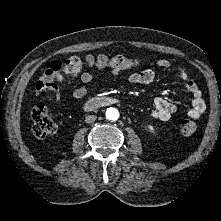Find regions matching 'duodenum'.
I'll return each instance as SVG.
<instances>
[{
	"label": "duodenum",
	"mask_w": 221,
	"mask_h": 221,
	"mask_svg": "<svg viewBox=\"0 0 221 221\" xmlns=\"http://www.w3.org/2000/svg\"><path fill=\"white\" fill-rule=\"evenodd\" d=\"M120 100L114 97H96L91 98L85 103L86 110H93L109 104L119 103Z\"/></svg>",
	"instance_id": "obj_1"
}]
</instances>
